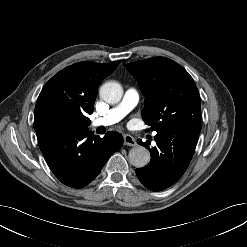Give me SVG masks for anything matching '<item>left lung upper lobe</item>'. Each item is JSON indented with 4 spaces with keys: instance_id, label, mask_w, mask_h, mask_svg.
<instances>
[{
    "instance_id": "obj_1",
    "label": "left lung upper lobe",
    "mask_w": 247,
    "mask_h": 247,
    "mask_svg": "<svg viewBox=\"0 0 247 247\" xmlns=\"http://www.w3.org/2000/svg\"><path fill=\"white\" fill-rule=\"evenodd\" d=\"M145 96L141 112L146 124L157 133L173 125L201 131L198 89L189 73L176 62L154 57L125 64Z\"/></svg>"
}]
</instances>
